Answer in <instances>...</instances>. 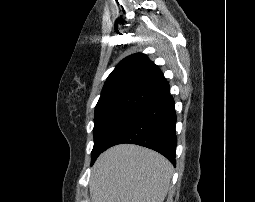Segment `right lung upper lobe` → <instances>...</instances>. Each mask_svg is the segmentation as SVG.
<instances>
[{
    "label": "right lung upper lobe",
    "mask_w": 255,
    "mask_h": 202,
    "mask_svg": "<svg viewBox=\"0 0 255 202\" xmlns=\"http://www.w3.org/2000/svg\"><path fill=\"white\" fill-rule=\"evenodd\" d=\"M169 84L160 69L145 54L124 58L108 76L95 115L131 110L138 112L169 95Z\"/></svg>",
    "instance_id": "right-lung-upper-lobe-1"
}]
</instances>
